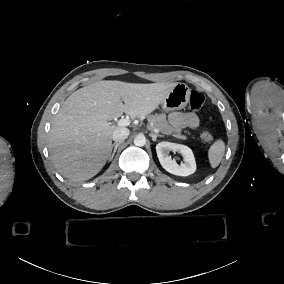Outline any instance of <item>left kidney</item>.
I'll use <instances>...</instances> for the list:
<instances>
[{
	"label": "left kidney",
	"instance_id": "left-kidney-1",
	"mask_svg": "<svg viewBox=\"0 0 284 284\" xmlns=\"http://www.w3.org/2000/svg\"><path fill=\"white\" fill-rule=\"evenodd\" d=\"M156 151L162 167L169 173L178 176H188L195 172L196 165L193 153L187 146L170 142H160L156 146ZM170 151L179 152L184 162L177 164L175 160H171Z\"/></svg>",
	"mask_w": 284,
	"mask_h": 284
}]
</instances>
